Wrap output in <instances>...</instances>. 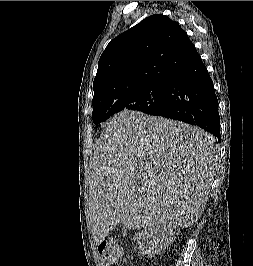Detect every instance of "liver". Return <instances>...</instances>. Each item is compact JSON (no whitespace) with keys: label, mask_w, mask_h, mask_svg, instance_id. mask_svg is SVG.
Wrapping results in <instances>:
<instances>
[{"label":"liver","mask_w":253,"mask_h":266,"mask_svg":"<svg viewBox=\"0 0 253 266\" xmlns=\"http://www.w3.org/2000/svg\"><path fill=\"white\" fill-rule=\"evenodd\" d=\"M216 139L198 127L123 111L109 119L90 160L92 237L117 225L134 230L202 215L218 160Z\"/></svg>","instance_id":"1"}]
</instances>
